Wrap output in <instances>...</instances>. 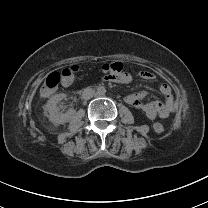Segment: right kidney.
<instances>
[{"mask_svg": "<svg viewBox=\"0 0 208 208\" xmlns=\"http://www.w3.org/2000/svg\"><path fill=\"white\" fill-rule=\"evenodd\" d=\"M66 98V94L64 93H60V94H56L53 98H51L46 106H45V110L48 113V118L49 120L56 124V125H60V124H64L68 121H70V116L63 113V112H59V104L60 102Z\"/></svg>", "mask_w": 208, "mask_h": 208, "instance_id": "ca27d5eb", "label": "right kidney"}]
</instances>
